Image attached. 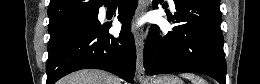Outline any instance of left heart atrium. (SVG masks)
I'll return each instance as SVG.
<instances>
[{
  "mask_svg": "<svg viewBox=\"0 0 260 84\" xmlns=\"http://www.w3.org/2000/svg\"><path fill=\"white\" fill-rule=\"evenodd\" d=\"M135 27H136V28L138 27V23H137V24H135Z\"/></svg>",
  "mask_w": 260,
  "mask_h": 84,
  "instance_id": "left-heart-atrium-1",
  "label": "left heart atrium"
}]
</instances>
